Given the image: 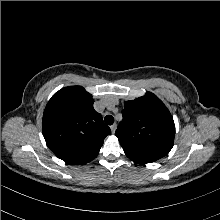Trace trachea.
Here are the masks:
<instances>
[{
	"label": "trachea",
	"mask_w": 220,
	"mask_h": 220,
	"mask_svg": "<svg viewBox=\"0 0 220 220\" xmlns=\"http://www.w3.org/2000/svg\"><path fill=\"white\" fill-rule=\"evenodd\" d=\"M104 121L107 125H112L114 123V118L111 115H107L105 117Z\"/></svg>",
	"instance_id": "1"
}]
</instances>
